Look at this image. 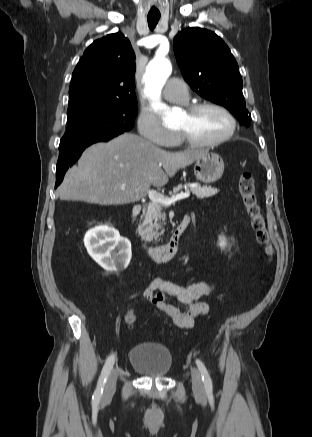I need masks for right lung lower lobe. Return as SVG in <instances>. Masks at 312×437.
<instances>
[{"label": "right lung lower lobe", "instance_id": "right-lung-lower-lobe-1", "mask_svg": "<svg viewBox=\"0 0 312 437\" xmlns=\"http://www.w3.org/2000/svg\"><path fill=\"white\" fill-rule=\"evenodd\" d=\"M115 136L105 137L98 140H92L88 141L82 144H79L71 149H68L66 151H61L59 153L58 163L56 167V185L55 188L62 182L63 177L65 175V172L68 170L69 167H71L80 157L83 150L90 146L93 143L100 142V141H108L112 139Z\"/></svg>", "mask_w": 312, "mask_h": 437}]
</instances>
